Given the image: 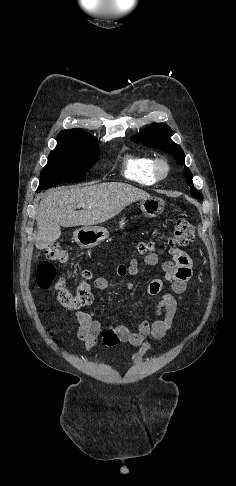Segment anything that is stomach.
I'll list each match as a JSON object with an SVG mask.
<instances>
[{
  "instance_id": "1",
  "label": "stomach",
  "mask_w": 236,
  "mask_h": 486,
  "mask_svg": "<svg viewBox=\"0 0 236 486\" xmlns=\"http://www.w3.org/2000/svg\"><path fill=\"white\" fill-rule=\"evenodd\" d=\"M141 210L146 217H157L164 211L165 203L162 199L151 197L141 200ZM127 223L125 217H122L119 225L124 227ZM109 232L102 226H84L74 232V239L81 248H93L107 239Z\"/></svg>"
}]
</instances>
